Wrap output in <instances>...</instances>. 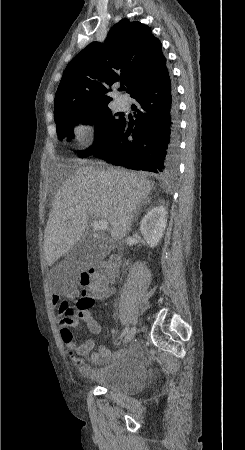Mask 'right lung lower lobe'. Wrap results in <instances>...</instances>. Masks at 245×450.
<instances>
[{"label":"right lung lower lobe","mask_w":245,"mask_h":450,"mask_svg":"<svg viewBox=\"0 0 245 450\" xmlns=\"http://www.w3.org/2000/svg\"><path fill=\"white\" fill-rule=\"evenodd\" d=\"M136 120L123 119L114 141L93 155L118 166L173 174L178 165L177 106L165 67L131 95Z\"/></svg>","instance_id":"1"}]
</instances>
